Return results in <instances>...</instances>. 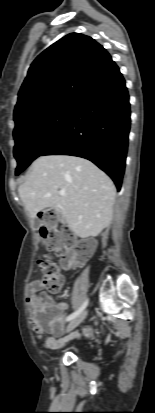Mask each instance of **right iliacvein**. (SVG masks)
Returning a JSON list of instances; mask_svg holds the SVG:
<instances>
[{"label": "right iliac vein", "instance_id": "1", "mask_svg": "<svg viewBox=\"0 0 155 413\" xmlns=\"http://www.w3.org/2000/svg\"><path fill=\"white\" fill-rule=\"evenodd\" d=\"M86 316H87V311H83L82 313H80L78 316H76L74 319L70 321V323L68 324L66 328V331L70 332L74 330L80 323L84 321Z\"/></svg>", "mask_w": 155, "mask_h": 413}]
</instances>
